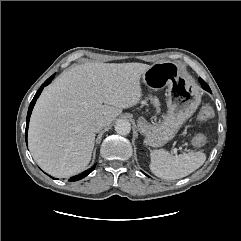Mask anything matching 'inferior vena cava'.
I'll return each instance as SVG.
<instances>
[{
    "mask_svg": "<svg viewBox=\"0 0 241 241\" xmlns=\"http://www.w3.org/2000/svg\"><path fill=\"white\" fill-rule=\"evenodd\" d=\"M106 125H107V120L105 118H99L93 122L92 128L95 132H98Z\"/></svg>",
    "mask_w": 241,
    "mask_h": 241,
    "instance_id": "inferior-vena-cava-1",
    "label": "inferior vena cava"
}]
</instances>
